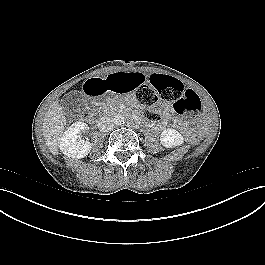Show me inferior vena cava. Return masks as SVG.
Here are the masks:
<instances>
[{
  "label": "inferior vena cava",
  "instance_id": "inferior-vena-cava-1",
  "mask_svg": "<svg viewBox=\"0 0 265 265\" xmlns=\"http://www.w3.org/2000/svg\"><path fill=\"white\" fill-rule=\"evenodd\" d=\"M114 127L113 119L109 116H103L98 120V128L101 132H108Z\"/></svg>",
  "mask_w": 265,
  "mask_h": 265
}]
</instances>
